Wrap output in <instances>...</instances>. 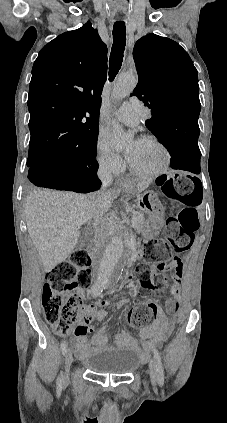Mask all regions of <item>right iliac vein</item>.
<instances>
[{"instance_id": "right-iliac-vein-1", "label": "right iliac vein", "mask_w": 227, "mask_h": 423, "mask_svg": "<svg viewBox=\"0 0 227 423\" xmlns=\"http://www.w3.org/2000/svg\"><path fill=\"white\" fill-rule=\"evenodd\" d=\"M73 362V356H72V350L69 349L66 352V357H65V374L63 375V378H66L68 376V372L70 370V366Z\"/></svg>"}]
</instances>
